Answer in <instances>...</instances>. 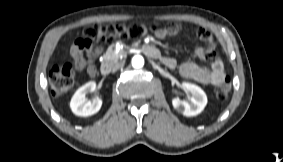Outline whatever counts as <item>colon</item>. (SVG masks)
Wrapping results in <instances>:
<instances>
[{
    "label": "colon",
    "instance_id": "colon-1",
    "mask_svg": "<svg viewBox=\"0 0 283 162\" xmlns=\"http://www.w3.org/2000/svg\"><path fill=\"white\" fill-rule=\"evenodd\" d=\"M156 26H145L143 24L130 25H105L102 23H95L89 25L84 30V39L88 42H102L107 39L119 37L123 39L139 38L147 32H156ZM74 83V72L70 64L54 65L49 72V84L53 96L58 97L65 94L71 89ZM231 81L225 78L216 87V96L220 100L226 99L231 93Z\"/></svg>",
    "mask_w": 283,
    "mask_h": 162
}]
</instances>
